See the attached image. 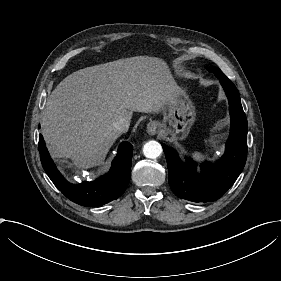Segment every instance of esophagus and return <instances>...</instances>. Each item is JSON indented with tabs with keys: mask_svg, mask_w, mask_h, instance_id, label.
Here are the masks:
<instances>
[{
	"mask_svg": "<svg viewBox=\"0 0 281 281\" xmlns=\"http://www.w3.org/2000/svg\"><path fill=\"white\" fill-rule=\"evenodd\" d=\"M157 128H158L157 122H154V121L150 122L147 125L148 134L155 135L157 133Z\"/></svg>",
	"mask_w": 281,
	"mask_h": 281,
	"instance_id": "1",
	"label": "esophagus"
}]
</instances>
